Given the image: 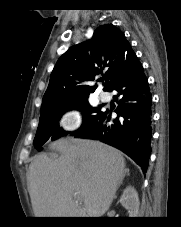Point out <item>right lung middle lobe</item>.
Masks as SVG:
<instances>
[{"mask_svg":"<svg viewBox=\"0 0 181 227\" xmlns=\"http://www.w3.org/2000/svg\"><path fill=\"white\" fill-rule=\"evenodd\" d=\"M70 109H78L84 113V124L79 131L95 124L102 114L100 108H92L89 105L87 97L42 109L37 133L34 139V146L37 150H42V145L47 140H56L67 134V132L59 128L58 121L61 115Z\"/></svg>","mask_w":181,"mask_h":227,"instance_id":"1","label":"right lung middle lobe"}]
</instances>
